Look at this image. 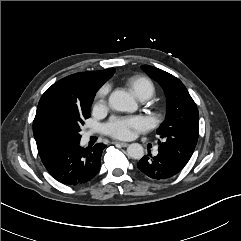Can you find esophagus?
<instances>
[{
	"label": "esophagus",
	"instance_id": "34e87169",
	"mask_svg": "<svg viewBox=\"0 0 241 241\" xmlns=\"http://www.w3.org/2000/svg\"><path fill=\"white\" fill-rule=\"evenodd\" d=\"M115 143L119 144L122 147H127L129 145L128 143H125V142H115Z\"/></svg>",
	"mask_w": 241,
	"mask_h": 241
}]
</instances>
